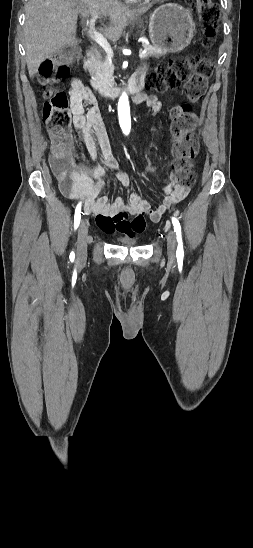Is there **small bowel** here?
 <instances>
[{
  "label": "small bowel",
  "mask_w": 253,
  "mask_h": 548,
  "mask_svg": "<svg viewBox=\"0 0 253 548\" xmlns=\"http://www.w3.org/2000/svg\"><path fill=\"white\" fill-rule=\"evenodd\" d=\"M136 75L144 77V68L139 69L134 76ZM69 94L73 124L92 159L96 158L98 147L101 149L104 165H75V172L69 181L66 184L60 182L61 192L70 199H82L85 212L96 215V223L105 233L119 232L127 236L142 233L145 230L146 213L152 221H159L171 205L181 202L188 195L190 187L181 184L170 175L169 195L157 208H152L146 199L134 192L128 195L126 201L121 197L110 201L107 196L102 195L109 172H115L116 180L125 188L129 187L130 178L126 173L118 171L119 164L112 154L97 100L91 90L80 80L74 79ZM134 101L144 103L153 111L161 108L160 101L154 95L139 93L134 97ZM85 103L90 105L88 109L85 108ZM127 213L134 218L130 219Z\"/></svg>",
  "instance_id": "obj_1"
}]
</instances>
